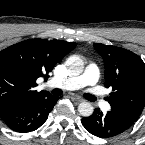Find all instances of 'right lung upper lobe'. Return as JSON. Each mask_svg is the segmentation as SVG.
I'll return each instance as SVG.
<instances>
[{"mask_svg": "<svg viewBox=\"0 0 145 145\" xmlns=\"http://www.w3.org/2000/svg\"><path fill=\"white\" fill-rule=\"evenodd\" d=\"M76 46L63 40L29 39L0 52V111L36 101L49 94L37 92L36 80L48 73Z\"/></svg>", "mask_w": 145, "mask_h": 145, "instance_id": "right-lung-upper-lobe-1", "label": "right lung upper lobe"}]
</instances>
